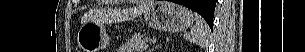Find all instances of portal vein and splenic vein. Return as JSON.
<instances>
[{
  "mask_svg": "<svg viewBox=\"0 0 305 52\" xmlns=\"http://www.w3.org/2000/svg\"><path fill=\"white\" fill-rule=\"evenodd\" d=\"M156 39H151L150 43H155Z\"/></svg>",
  "mask_w": 305,
  "mask_h": 52,
  "instance_id": "18ae733b",
  "label": "portal vein and splenic vein"
}]
</instances>
